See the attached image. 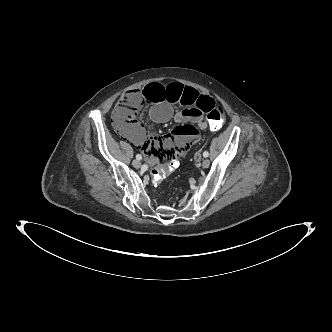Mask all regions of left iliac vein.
I'll use <instances>...</instances> for the list:
<instances>
[{
  "label": "left iliac vein",
  "mask_w": 332,
  "mask_h": 332,
  "mask_svg": "<svg viewBox=\"0 0 332 332\" xmlns=\"http://www.w3.org/2000/svg\"><path fill=\"white\" fill-rule=\"evenodd\" d=\"M210 165V160L209 159H204L201 163L202 168H208Z\"/></svg>",
  "instance_id": "left-iliac-vein-1"
}]
</instances>
